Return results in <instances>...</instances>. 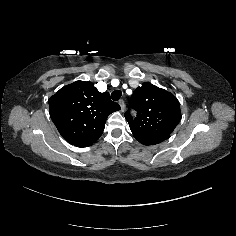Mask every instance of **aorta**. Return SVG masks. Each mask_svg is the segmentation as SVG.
Wrapping results in <instances>:
<instances>
[{"label": "aorta", "mask_w": 236, "mask_h": 236, "mask_svg": "<svg viewBox=\"0 0 236 236\" xmlns=\"http://www.w3.org/2000/svg\"><path fill=\"white\" fill-rule=\"evenodd\" d=\"M129 112L131 115L135 114V109L133 107H129Z\"/></svg>", "instance_id": "obj_1"}]
</instances>
